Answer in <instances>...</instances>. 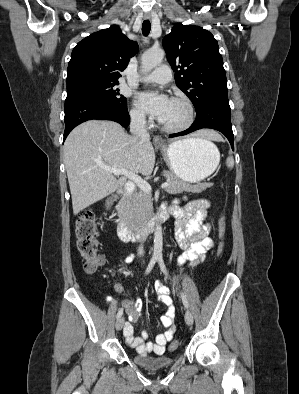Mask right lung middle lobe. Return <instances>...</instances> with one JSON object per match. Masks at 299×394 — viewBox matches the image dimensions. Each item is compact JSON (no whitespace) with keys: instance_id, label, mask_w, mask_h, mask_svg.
I'll return each mask as SVG.
<instances>
[{"instance_id":"1","label":"right lung middle lobe","mask_w":299,"mask_h":394,"mask_svg":"<svg viewBox=\"0 0 299 394\" xmlns=\"http://www.w3.org/2000/svg\"><path fill=\"white\" fill-rule=\"evenodd\" d=\"M118 82H92L67 88V97L83 95L97 96L110 101L117 107L127 105L126 98L115 88Z\"/></svg>"}]
</instances>
